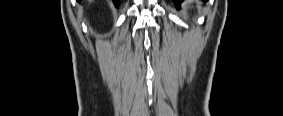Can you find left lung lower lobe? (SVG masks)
I'll return each instance as SVG.
<instances>
[{"label": "left lung lower lobe", "instance_id": "obj_1", "mask_svg": "<svg viewBox=\"0 0 283 116\" xmlns=\"http://www.w3.org/2000/svg\"><path fill=\"white\" fill-rule=\"evenodd\" d=\"M173 1H174V3H175V6H176V7H179L180 4H181V2L184 1V0H173Z\"/></svg>", "mask_w": 283, "mask_h": 116}]
</instances>
